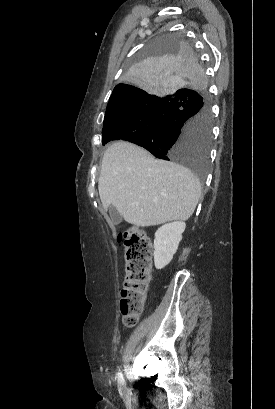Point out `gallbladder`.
Segmentation results:
<instances>
[{
    "mask_svg": "<svg viewBox=\"0 0 275 409\" xmlns=\"http://www.w3.org/2000/svg\"><path fill=\"white\" fill-rule=\"evenodd\" d=\"M109 215L113 225H119V223H121L122 217L120 213H118L117 209H115V207H112V205L111 207H109Z\"/></svg>",
    "mask_w": 275,
    "mask_h": 409,
    "instance_id": "obj_1",
    "label": "gallbladder"
}]
</instances>
